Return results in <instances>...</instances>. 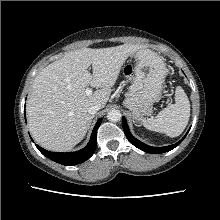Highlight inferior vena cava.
Masks as SVG:
<instances>
[{
    "instance_id": "602c4592",
    "label": "inferior vena cava",
    "mask_w": 220,
    "mask_h": 220,
    "mask_svg": "<svg viewBox=\"0 0 220 220\" xmlns=\"http://www.w3.org/2000/svg\"><path fill=\"white\" fill-rule=\"evenodd\" d=\"M99 109H101V105L100 104H94L88 109V113L91 114V115H94L99 111Z\"/></svg>"
}]
</instances>
